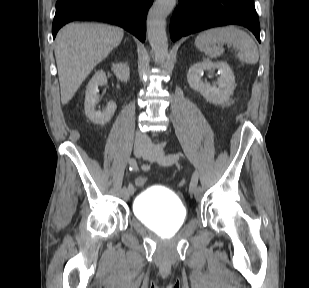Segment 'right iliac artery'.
I'll use <instances>...</instances> for the list:
<instances>
[{
  "label": "right iliac artery",
  "instance_id": "obj_1",
  "mask_svg": "<svg viewBox=\"0 0 309 288\" xmlns=\"http://www.w3.org/2000/svg\"><path fill=\"white\" fill-rule=\"evenodd\" d=\"M140 170H141V172L143 171V170H151V168H150V166L149 165H140ZM127 190H129V192L130 193H133L134 192V185H131V184H129V185H127Z\"/></svg>",
  "mask_w": 309,
  "mask_h": 288
}]
</instances>
